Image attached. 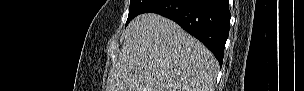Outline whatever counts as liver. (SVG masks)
<instances>
[{"label":"liver","mask_w":304,"mask_h":91,"mask_svg":"<svg viewBox=\"0 0 304 91\" xmlns=\"http://www.w3.org/2000/svg\"><path fill=\"white\" fill-rule=\"evenodd\" d=\"M124 35L107 91H212L216 58L172 20L142 14Z\"/></svg>","instance_id":"1"}]
</instances>
